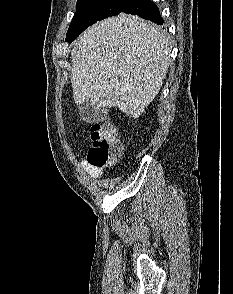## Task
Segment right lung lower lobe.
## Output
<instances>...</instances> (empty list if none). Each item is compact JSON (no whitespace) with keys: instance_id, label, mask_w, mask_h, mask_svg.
Wrapping results in <instances>:
<instances>
[{"instance_id":"right-lung-lower-lobe-1","label":"right lung lower lobe","mask_w":233,"mask_h":294,"mask_svg":"<svg viewBox=\"0 0 233 294\" xmlns=\"http://www.w3.org/2000/svg\"><path fill=\"white\" fill-rule=\"evenodd\" d=\"M121 12L138 15L159 25L164 22L158 7L151 0H129ZM74 39L70 38L67 41L72 42Z\"/></svg>"}]
</instances>
